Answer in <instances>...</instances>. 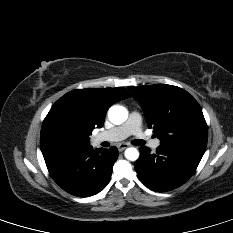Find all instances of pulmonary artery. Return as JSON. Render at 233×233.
<instances>
[{"instance_id": "e3ab8cb5", "label": "pulmonary artery", "mask_w": 233, "mask_h": 233, "mask_svg": "<svg viewBox=\"0 0 233 233\" xmlns=\"http://www.w3.org/2000/svg\"><path fill=\"white\" fill-rule=\"evenodd\" d=\"M130 135H135L138 139L148 141L153 149L160 145L158 139H150L141 129V116L138 112H131L127 121L110 130L99 133L95 136V142L102 141H120Z\"/></svg>"}]
</instances>
